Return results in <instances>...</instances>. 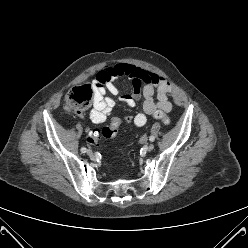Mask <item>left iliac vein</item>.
<instances>
[{
  "label": "left iliac vein",
  "mask_w": 248,
  "mask_h": 248,
  "mask_svg": "<svg viewBox=\"0 0 248 248\" xmlns=\"http://www.w3.org/2000/svg\"><path fill=\"white\" fill-rule=\"evenodd\" d=\"M154 149V144H150L148 147H147V151L150 152Z\"/></svg>",
  "instance_id": "4c4485c4"
}]
</instances>
